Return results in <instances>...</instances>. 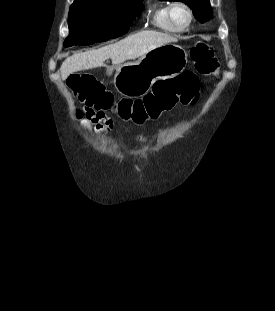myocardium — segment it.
<instances>
[{"instance_id": "myocardium-1", "label": "myocardium", "mask_w": 275, "mask_h": 311, "mask_svg": "<svg viewBox=\"0 0 275 311\" xmlns=\"http://www.w3.org/2000/svg\"><path fill=\"white\" fill-rule=\"evenodd\" d=\"M179 6L184 8L187 11V13H188V21H187L186 25H184L182 27L177 26L174 23L173 17H172L173 9L175 7H179ZM167 17H168V21L172 25V27L175 30H177L178 32H182V31H185L186 29H188L190 27V25H191V23L193 21L194 15H193V11H192L191 7L187 3H185V2H183L181 0H177V1H174V2L170 3V5L168 7V10H167Z\"/></svg>"}]
</instances>
